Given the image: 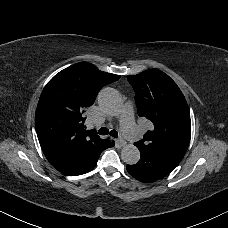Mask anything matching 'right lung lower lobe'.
Listing matches in <instances>:
<instances>
[{
    "mask_svg": "<svg viewBox=\"0 0 228 228\" xmlns=\"http://www.w3.org/2000/svg\"><path fill=\"white\" fill-rule=\"evenodd\" d=\"M113 146V141L108 139L103 140L100 145L82 149L66 161L54 167L58 171L71 176L87 173L96 166L101 152Z\"/></svg>",
    "mask_w": 228,
    "mask_h": 228,
    "instance_id": "right-lung-lower-lobe-1",
    "label": "right lung lower lobe"
}]
</instances>
